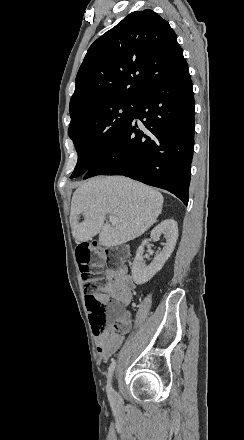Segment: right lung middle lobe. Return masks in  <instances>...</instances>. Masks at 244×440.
<instances>
[{"instance_id":"obj_1","label":"right lung middle lobe","mask_w":244,"mask_h":440,"mask_svg":"<svg viewBox=\"0 0 244 440\" xmlns=\"http://www.w3.org/2000/svg\"><path fill=\"white\" fill-rule=\"evenodd\" d=\"M138 98H108L70 110L68 134L78 153L70 178L86 173L131 121Z\"/></svg>"}]
</instances>
